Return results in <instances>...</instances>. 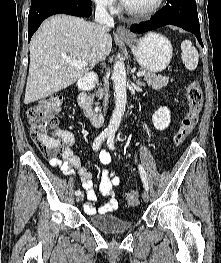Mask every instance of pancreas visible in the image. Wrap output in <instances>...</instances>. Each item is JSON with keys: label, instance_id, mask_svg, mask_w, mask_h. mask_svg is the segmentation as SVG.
<instances>
[{"label": "pancreas", "instance_id": "obj_1", "mask_svg": "<svg viewBox=\"0 0 221 263\" xmlns=\"http://www.w3.org/2000/svg\"><path fill=\"white\" fill-rule=\"evenodd\" d=\"M145 72V71H144ZM144 76V80L147 83V85L152 86L155 89H160L163 87H166L170 81L169 77L167 76H161V75H155L152 73H146ZM173 80H171L172 82ZM100 93H98L99 95Z\"/></svg>", "mask_w": 221, "mask_h": 263}]
</instances>
